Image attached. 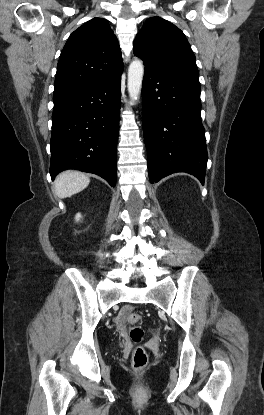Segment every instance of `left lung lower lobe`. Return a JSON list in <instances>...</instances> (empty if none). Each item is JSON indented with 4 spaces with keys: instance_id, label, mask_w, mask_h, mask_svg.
Masks as SVG:
<instances>
[{
    "instance_id": "obj_1",
    "label": "left lung lower lobe",
    "mask_w": 264,
    "mask_h": 415,
    "mask_svg": "<svg viewBox=\"0 0 264 415\" xmlns=\"http://www.w3.org/2000/svg\"><path fill=\"white\" fill-rule=\"evenodd\" d=\"M199 80L145 69L142 124L151 183L186 172L204 184L207 166Z\"/></svg>"
}]
</instances>
